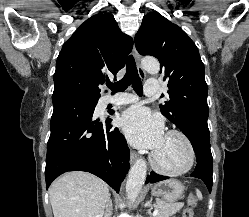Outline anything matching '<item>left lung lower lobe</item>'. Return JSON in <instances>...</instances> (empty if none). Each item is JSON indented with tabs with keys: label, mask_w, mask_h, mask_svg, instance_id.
<instances>
[{
	"label": "left lung lower lobe",
	"mask_w": 249,
	"mask_h": 217,
	"mask_svg": "<svg viewBox=\"0 0 249 217\" xmlns=\"http://www.w3.org/2000/svg\"><path fill=\"white\" fill-rule=\"evenodd\" d=\"M190 140L197 158V165L191 176L201 179L207 186L209 192L212 189L213 158L210 150V135L207 122H193L185 134ZM168 177L151 172L147 176V183H155Z\"/></svg>",
	"instance_id": "left-lung-lower-lobe-1"
}]
</instances>
